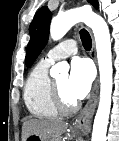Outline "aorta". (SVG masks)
Listing matches in <instances>:
<instances>
[{"label":"aorta","instance_id":"obj_1","mask_svg":"<svg viewBox=\"0 0 119 141\" xmlns=\"http://www.w3.org/2000/svg\"><path fill=\"white\" fill-rule=\"evenodd\" d=\"M79 22H84L94 33L100 72V101L94 119L92 141H106L111 108L113 68L110 34L105 20L85 8L71 9L52 19L50 36L53 40H59ZM68 69V64L59 62L51 68L50 74L52 77H57L61 72H68Z\"/></svg>","mask_w":119,"mask_h":141}]
</instances>
